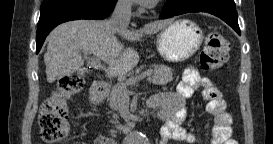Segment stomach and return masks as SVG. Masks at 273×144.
Returning a JSON list of instances; mask_svg holds the SVG:
<instances>
[{"label":"stomach","instance_id":"0dacf381","mask_svg":"<svg viewBox=\"0 0 273 144\" xmlns=\"http://www.w3.org/2000/svg\"><path fill=\"white\" fill-rule=\"evenodd\" d=\"M203 41L200 27L191 20L183 19L172 22L157 37V50L170 62H181L194 55ZM97 102L96 96L92 97Z\"/></svg>","mask_w":273,"mask_h":144}]
</instances>
